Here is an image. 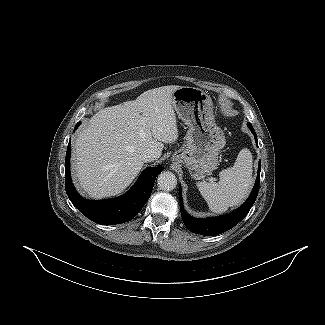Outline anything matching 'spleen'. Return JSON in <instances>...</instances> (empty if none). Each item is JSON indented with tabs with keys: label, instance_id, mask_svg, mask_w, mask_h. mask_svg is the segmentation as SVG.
I'll return each mask as SVG.
<instances>
[{
	"label": "spleen",
	"instance_id": "3e777b00",
	"mask_svg": "<svg viewBox=\"0 0 325 325\" xmlns=\"http://www.w3.org/2000/svg\"><path fill=\"white\" fill-rule=\"evenodd\" d=\"M252 155L244 148L234 165L220 172L216 182L201 181L197 187L214 212H222L230 206L238 205L249 194L252 187Z\"/></svg>",
	"mask_w": 325,
	"mask_h": 325
}]
</instances>
